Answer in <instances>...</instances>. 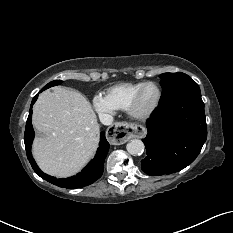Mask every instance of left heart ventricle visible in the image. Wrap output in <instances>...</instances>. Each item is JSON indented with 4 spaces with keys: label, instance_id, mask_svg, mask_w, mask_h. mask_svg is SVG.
<instances>
[{
    "label": "left heart ventricle",
    "instance_id": "obj_1",
    "mask_svg": "<svg viewBox=\"0 0 233 233\" xmlns=\"http://www.w3.org/2000/svg\"><path fill=\"white\" fill-rule=\"evenodd\" d=\"M157 94V89L154 86H147L142 92L139 108L141 110H146L150 108L155 103L157 99Z\"/></svg>",
    "mask_w": 233,
    "mask_h": 233
}]
</instances>
